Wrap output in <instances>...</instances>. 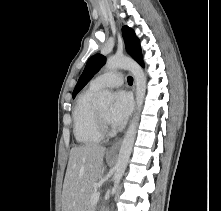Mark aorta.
I'll return each instance as SVG.
<instances>
[{
	"mask_svg": "<svg viewBox=\"0 0 221 211\" xmlns=\"http://www.w3.org/2000/svg\"><path fill=\"white\" fill-rule=\"evenodd\" d=\"M105 68L107 70H115V69L129 70L133 74L136 84V111L122 141L118 159L115 165V174L113 177L114 181L113 191H115L126 170L132 152L133 144L135 141L137 126L139 122V115L142 109L145 92H146V77L142 68L135 61L124 56L109 57L106 61ZM113 101H114V95L110 91L103 90L100 92L98 98L99 106L103 107L109 106Z\"/></svg>",
	"mask_w": 221,
	"mask_h": 211,
	"instance_id": "aorta-1",
	"label": "aorta"
}]
</instances>
